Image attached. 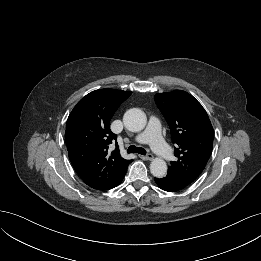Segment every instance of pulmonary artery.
<instances>
[{
	"label": "pulmonary artery",
	"instance_id": "pulmonary-artery-1",
	"mask_svg": "<svg viewBox=\"0 0 261 261\" xmlns=\"http://www.w3.org/2000/svg\"><path fill=\"white\" fill-rule=\"evenodd\" d=\"M136 141L149 143L154 152L164 160H169L172 157L170 148L161 136L160 123L155 117L150 118L146 130L136 137Z\"/></svg>",
	"mask_w": 261,
	"mask_h": 261
}]
</instances>
